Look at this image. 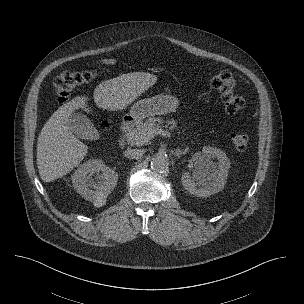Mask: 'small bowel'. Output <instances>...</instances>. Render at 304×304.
<instances>
[{"instance_id":"obj_1","label":"small bowel","mask_w":304,"mask_h":304,"mask_svg":"<svg viewBox=\"0 0 304 304\" xmlns=\"http://www.w3.org/2000/svg\"><path fill=\"white\" fill-rule=\"evenodd\" d=\"M99 63L103 65L111 66L116 63V59L115 58L102 59L99 61Z\"/></svg>"}]
</instances>
